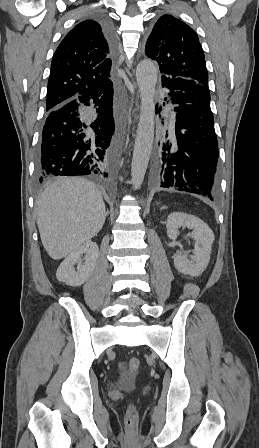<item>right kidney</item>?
<instances>
[{
	"instance_id": "ca27d5eb",
	"label": "right kidney",
	"mask_w": 259,
	"mask_h": 448,
	"mask_svg": "<svg viewBox=\"0 0 259 448\" xmlns=\"http://www.w3.org/2000/svg\"><path fill=\"white\" fill-rule=\"evenodd\" d=\"M84 254L83 260H86L84 264H81V256ZM98 258V246L95 242H87L83 246H79L76 250H73L64 262L60 264L56 278L59 282H65L67 286H82L86 282L87 278L92 276L96 262ZM77 266V272L74 268Z\"/></svg>"
}]
</instances>
